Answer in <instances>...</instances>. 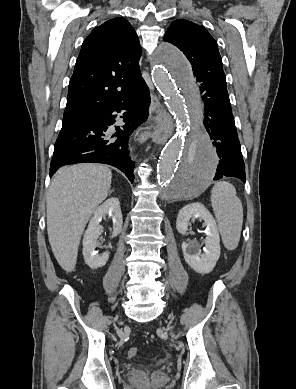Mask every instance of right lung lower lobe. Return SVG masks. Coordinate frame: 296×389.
Returning a JSON list of instances; mask_svg holds the SVG:
<instances>
[{"label": "right lung lower lobe", "mask_w": 296, "mask_h": 389, "mask_svg": "<svg viewBox=\"0 0 296 389\" xmlns=\"http://www.w3.org/2000/svg\"><path fill=\"white\" fill-rule=\"evenodd\" d=\"M149 105V90L140 74L116 105L61 129L54 146L50 177L64 165L96 162L120 169L133 182L134 162L129 156V139L132 132L146 121ZM121 110H125L122 116L125 125L116 126V133L110 136L108 128L116 117L113 113Z\"/></svg>", "instance_id": "obj_1"}]
</instances>
